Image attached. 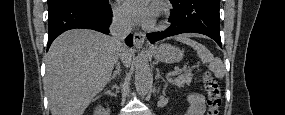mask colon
Wrapping results in <instances>:
<instances>
[{"label":"colon","instance_id":"5ec220e1","mask_svg":"<svg viewBox=\"0 0 285 115\" xmlns=\"http://www.w3.org/2000/svg\"><path fill=\"white\" fill-rule=\"evenodd\" d=\"M203 84L207 93V114L218 115L222 103L219 84L208 72L203 75Z\"/></svg>","mask_w":285,"mask_h":115}]
</instances>
